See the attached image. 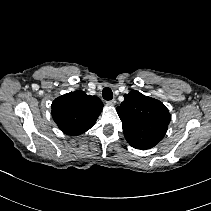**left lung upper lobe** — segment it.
<instances>
[{
    "mask_svg": "<svg viewBox=\"0 0 211 211\" xmlns=\"http://www.w3.org/2000/svg\"><path fill=\"white\" fill-rule=\"evenodd\" d=\"M117 113L127 142L136 149H149L163 139L171 115L165 105L136 90L124 95Z\"/></svg>",
    "mask_w": 211,
    "mask_h": 211,
    "instance_id": "1",
    "label": "left lung upper lobe"
}]
</instances>
